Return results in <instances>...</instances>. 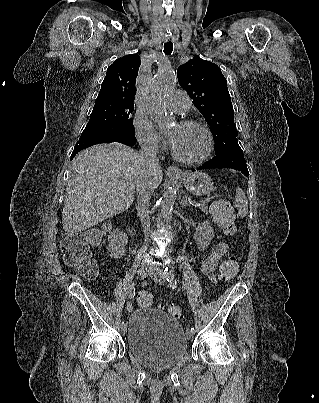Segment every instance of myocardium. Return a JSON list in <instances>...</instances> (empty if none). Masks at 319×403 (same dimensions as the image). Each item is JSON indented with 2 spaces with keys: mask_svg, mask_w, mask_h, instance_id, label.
<instances>
[{
  "mask_svg": "<svg viewBox=\"0 0 319 403\" xmlns=\"http://www.w3.org/2000/svg\"><path fill=\"white\" fill-rule=\"evenodd\" d=\"M181 124L186 125V126H197L200 129L203 130L205 137H206V149L204 151V153L197 157V158H185L181 155H179L173 148V146H171V154L173 156V158L181 163H185V164H199L204 162L212 153L213 151V146H214V140H213V136L211 133V130L209 129V127L204 124L203 122L196 120V119H182L180 121Z\"/></svg>",
  "mask_w": 319,
  "mask_h": 403,
  "instance_id": "obj_1",
  "label": "myocardium"
}]
</instances>
